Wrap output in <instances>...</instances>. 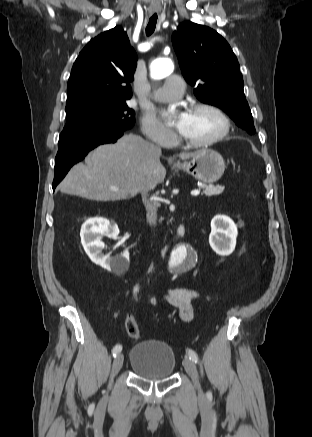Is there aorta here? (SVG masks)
<instances>
[{
  "instance_id": "1",
  "label": "aorta",
  "mask_w": 312,
  "mask_h": 437,
  "mask_svg": "<svg viewBox=\"0 0 312 437\" xmlns=\"http://www.w3.org/2000/svg\"><path fill=\"white\" fill-rule=\"evenodd\" d=\"M174 66L170 59L159 58L154 60L150 66L151 78L159 80L167 77L173 72ZM187 261L189 263H187ZM195 261V255L190 253L185 246H179L173 253L170 266L189 267Z\"/></svg>"
}]
</instances>
